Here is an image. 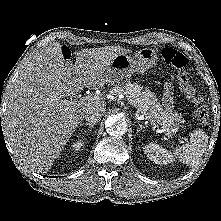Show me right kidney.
Listing matches in <instances>:
<instances>
[{
    "label": "right kidney",
    "instance_id": "right-kidney-1",
    "mask_svg": "<svg viewBox=\"0 0 221 221\" xmlns=\"http://www.w3.org/2000/svg\"><path fill=\"white\" fill-rule=\"evenodd\" d=\"M83 144H84V142H83L81 139L76 140V141L73 142V144L71 145L72 151H74V152L79 151Z\"/></svg>",
    "mask_w": 221,
    "mask_h": 221
}]
</instances>
